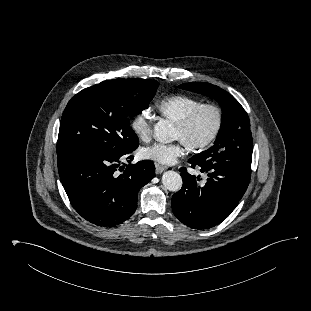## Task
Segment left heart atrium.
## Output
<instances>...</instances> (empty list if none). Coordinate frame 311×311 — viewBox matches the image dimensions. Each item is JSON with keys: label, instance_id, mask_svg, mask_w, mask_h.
Returning <instances> with one entry per match:
<instances>
[{"label": "left heart atrium", "instance_id": "1", "mask_svg": "<svg viewBox=\"0 0 311 311\" xmlns=\"http://www.w3.org/2000/svg\"><path fill=\"white\" fill-rule=\"evenodd\" d=\"M187 149V145L180 141L177 143H154L141 149V156L160 164L170 165L182 157Z\"/></svg>", "mask_w": 311, "mask_h": 311}]
</instances>
